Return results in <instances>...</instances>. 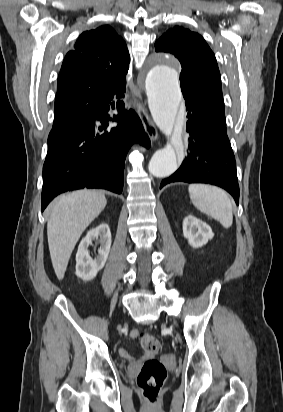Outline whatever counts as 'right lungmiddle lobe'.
<instances>
[{"label": "right lung middle lobe", "mask_w": 283, "mask_h": 412, "mask_svg": "<svg viewBox=\"0 0 283 412\" xmlns=\"http://www.w3.org/2000/svg\"><path fill=\"white\" fill-rule=\"evenodd\" d=\"M80 105H81V104H80ZM77 106H79V105H77ZM64 113H66V112H64ZM64 113H63V114H64ZM63 114H62V115H63ZM62 115H61V116H62Z\"/></svg>", "instance_id": "right-lung-middle-lobe-1"}]
</instances>
